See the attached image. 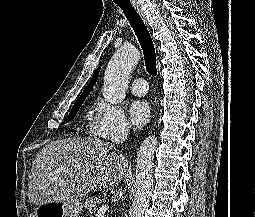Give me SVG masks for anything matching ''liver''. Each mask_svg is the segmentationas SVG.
<instances>
[{"instance_id":"1","label":"liver","mask_w":255,"mask_h":217,"mask_svg":"<svg viewBox=\"0 0 255 217\" xmlns=\"http://www.w3.org/2000/svg\"><path fill=\"white\" fill-rule=\"evenodd\" d=\"M106 142L65 138L47 144L35 157L28 181L30 204L77 199L95 187L112 189L124 176L126 160Z\"/></svg>"}]
</instances>
